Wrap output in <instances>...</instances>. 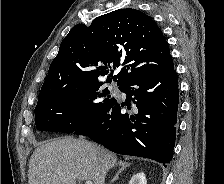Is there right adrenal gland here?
<instances>
[{"label":"right adrenal gland","instance_id":"obj_1","mask_svg":"<svg viewBox=\"0 0 224 184\" xmlns=\"http://www.w3.org/2000/svg\"><path fill=\"white\" fill-rule=\"evenodd\" d=\"M118 165L121 166V168L119 169V171L116 173L115 177L112 179V183L118 179L119 175L121 174V172L126 169V167H128L130 165V163L127 162H123V161H119Z\"/></svg>","mask_w":224,"mask_h":184}]
</instances>
